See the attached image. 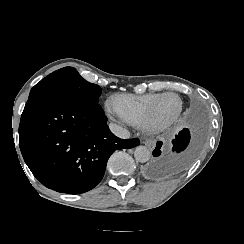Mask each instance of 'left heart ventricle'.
<instances>
[{"label": "left heart ventricle", "instance_id": "obj_1", "mask_svg": "<svg viewBox=\"0 0 244 244\" xmlns=\"http://www.w3.org/2000/svg\"><path fill=\"white\" fill-rule=\"evenodd\" d=\"M159 107L167 118L177 107V100L173 96H166L159 100Z\"/></svg>", "mask_w": 244, "mask_h": 244}]
</instances>
